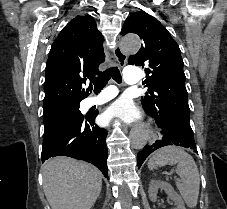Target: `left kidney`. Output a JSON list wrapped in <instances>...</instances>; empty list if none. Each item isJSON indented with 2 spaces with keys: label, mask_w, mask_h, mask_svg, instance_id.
Instances as JSON below:
<instances>
[{
  "label": "left kidney",
  "mask_w": 227,
  "mask_h": 209,
  "mask_svg": "<svg viewBox=\"0 0 227 209\" xmlns=\"http://www.w3.org/2000/svg\"><path fill=\"white\" fill-rule=\"evenodd\" d=\"M158 189H162L167 193L168 197L174 201L175 205H177L176 209H185L184 201L176 191H174L173 187L166 183V181H151L149 187V199L150 201H156Z\"/></svg>",
  "instance_id": "1"
}]
</instances>
